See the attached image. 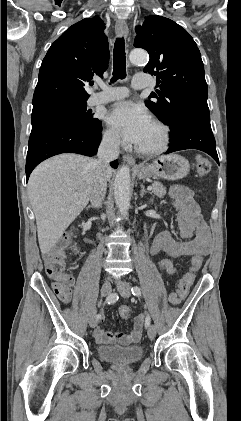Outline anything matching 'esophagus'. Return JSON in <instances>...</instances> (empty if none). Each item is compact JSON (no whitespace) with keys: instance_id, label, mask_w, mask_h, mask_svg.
<instances>
[{"instance_id":"esophagus-1","label":"esophagus","mask_w":241,"mask_h":421,"mask_svg":"<svg viewBox=\"0 0 241 421\" xmlns=\"http://www.w3.org/2000/svg\"><path fill=\"white\" fill-rule=\"evenodd\" d=\"M115 31H116V34L119 37L124 36L125 38H127V36H128V26H127L126 22L124 20L118 19L116 21V24H115ZM122 158H123V161L126 162L127 164H129L130 166H132L134 168L137 166L133 156L128 155V154H124L122 156Z\"/></svg>"}]
</instances>
